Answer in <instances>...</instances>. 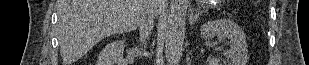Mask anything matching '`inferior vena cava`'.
Masks as SVG:
<instances>
[{"label": "inferior vena cava", "mask_w": 309, "mask_h": 65, "mask_svg": "<svg viewBox=\"0 0 309 65\" xmlns=\"http://www.w3.org/2000/svg\"><path fill=\"white\" fill-rule=\"evenodd\" d=\"M156 2H162L161 0H151L150 7L145 10L139 21V39L142 46H146L147 40L151 35L154 27V15Z\"/></svg>", "instance_id": "inferior-vena-cava-1"}]
</instances>
